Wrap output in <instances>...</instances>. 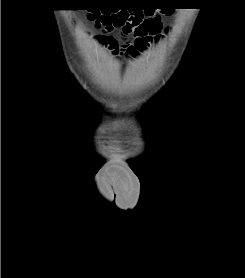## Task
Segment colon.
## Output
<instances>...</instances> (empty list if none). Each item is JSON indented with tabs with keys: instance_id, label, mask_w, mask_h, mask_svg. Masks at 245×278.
Wrapping results in <instances>:
<instances>
[{
	"instance_id": "1",
	"label": "colon",
	"mask_w": 245,
	"mask_h": 278,
	"mask_svg": "<svg viewBox=\"0 0 245 278\" xmlns=\"http://www.w3.org/2000/svg\"><path fill=\"white\" fill-rule=\"evenodd\" d=\"M95 26L105 33L119 30L122 36L134 35L144 41L163 32L159 19L153 17L148 10L100 14L95 18Z\"/></svg>"
}]
</instances>
